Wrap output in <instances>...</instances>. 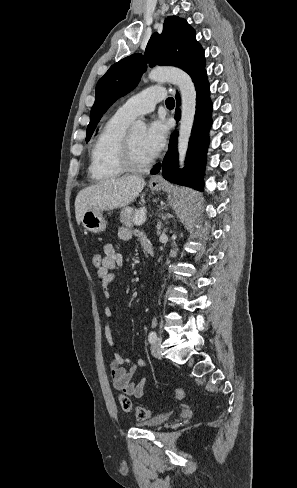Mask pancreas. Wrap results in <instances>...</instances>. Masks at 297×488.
I'll return each instance as SVG.
<instances>
[{"label":"pancreas","instance_id":"obj_1","mask_svg":"<svg viewBox=\"0 0 297 488\" xmlns=\"http://www.w3.org/2000/svg\"><path fill=\"white\" fill-rule=\"evenodd\" d=\"M130 209H132V208L125 207L120 212V222L123 225L128 226V227H131V226H133V224H135V215L140 212V210L129 211Z\"/></svg>","mask_w":297,"mask_h":488}]
</instances>
